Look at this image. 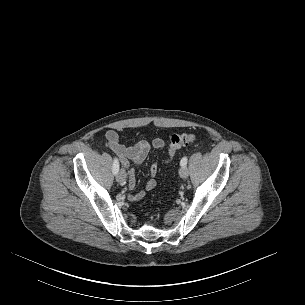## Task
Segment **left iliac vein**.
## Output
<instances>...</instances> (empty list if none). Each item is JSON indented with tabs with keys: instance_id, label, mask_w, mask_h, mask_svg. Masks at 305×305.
Here are the masks:
<instances>
[{
	"instance_id": "obj_1",
	"label": "left iliac vein",
	"mask_w": 305,
	"mask_h": 305,
	"mask_svg": "<svg viewBox=\"0 0 305 305\" xmlns=\"http://www.w3.org/2000/svg\"><path fill=\"white\" fill-rule=\"evenodd\" d=\"M188 174H189V172H188L187 167L182 166L179 170V175L181 176V178H183V179L187 178Z\"/></svg>"
}]
</instances>
